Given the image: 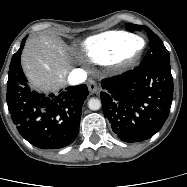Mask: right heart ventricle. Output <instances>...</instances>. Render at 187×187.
<instances>
[{"label":"right heart ventricle","mask_w":187,"mask_h":187,"mask_svg":"<svg viewBox=\"0 0 187 187\" xmlns=\"http://www.w3.org/2000/svg\"><path fill=\"white\" fill-rule=\"evenodd\" d=\"M142 42V39L134 34L110 31L88 38L84 47L92 61L110 65L128 57Z\"/></svg>","instance_id":"right-heart-ventricle-1"}]
</instances>
